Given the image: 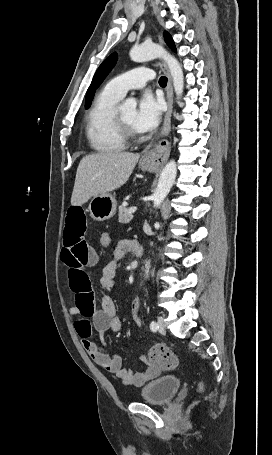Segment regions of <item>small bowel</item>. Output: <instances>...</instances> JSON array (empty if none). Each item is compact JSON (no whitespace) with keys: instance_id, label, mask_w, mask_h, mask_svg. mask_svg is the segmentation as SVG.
<instances>
[{"instance_id":"c3829d8e","label":"small bowel","mask_w":272,"mask_h":455,"mask_svg":"<svg viewBox=\"0 0 272 455\" xmlns=\"http://www.w3.org/2000/svg\"><path fill=\"white\" fill-rule=\"evenodd\" d=\"M86 227V217L81 208H70L65 221L61 260L67 268L69 286L74 294V305L69 310L70 315L75 318L74 328L84 349L99 366L114 374L124 384L142 385L160 374V365H148L141 371L133 372L123 368L121 356L113 352L104 341L100 346L91 339L92 326L102 335L107 331L117 333L122 330V321L116 314L114 302L109 294L103 295L100 308H95L94 293L87 269L98 262V254L85 240ZM133 242L118 241L113 249V260L102 271L100 282L108 293L114 287L117 263L127 252L132 251ZM140 306V298H134L131 312L138 324ZM141 360L145 362V356Z\"/></svg>"}]
</instances>
